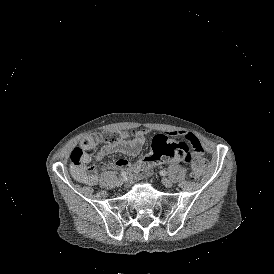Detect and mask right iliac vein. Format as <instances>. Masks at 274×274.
Listing matches in <instances>:
<instances>
[{
  "instance_id": "obj_1",
  "label": "right iliac vein",
  "mask_w": 274,
  "mask_h": 274,
  "mask_svg": "<svg viewBox=\"0 0 274 274\" xmlns=\"http://www.w3.org/2000/svg\"><path fill=\"white\" fill-rule=\"evenodd\" d=\"M116 185L119 186V187L122 186L123 185V179H121V178L118 179L117 182H116Z\"/></svg>"
}]
</instances>
